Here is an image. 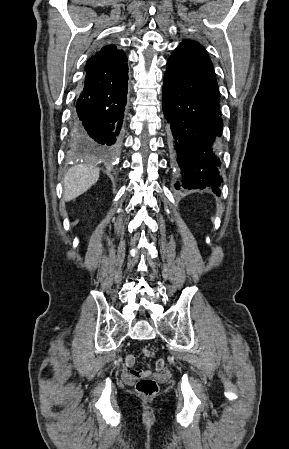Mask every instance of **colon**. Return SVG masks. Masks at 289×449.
Instances as JSON below:
<instances>
[{"instance_id": "5ec220e1", "label": "colon", "mask_w": 289, "mask_h": 449, "mask_svg": "<svg viewBox=\"0 0 289 449\" xmlns=\"http://www.w3.org/2000/svg\"><path fill=\"white\" fill-rule=\"evenodd\" d=\"M143 353L147 357H152L154 351L148 348L143 349ZM136 391L143 396H152L158 391V384L156 380L149 375L141 374L136 382Z\"/></svg>"}]
</instances>
